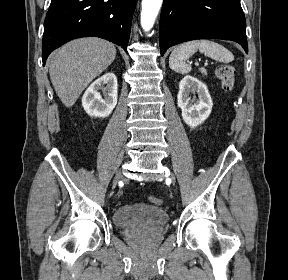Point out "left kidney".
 <instances>
[{
  "label": "left kidney",
  "mask_w": 288,
  "mask_h": 280,
  "mask_svg": "<svg viewBox=\"0 0 288 280\" xmlns=\"http://www.w3.org/2000/svg\"><path fill=\"white\" fill-rule=\"evenodd\" d=\"M195 92L198 93V99H191V93ZM177 105L182 110L184 122L195 128L209 117L213 103L207 86L197 78L187 75L179 83Z\"/></svg>",
  "instance_id": "5707ae66"
}]
</instances>
